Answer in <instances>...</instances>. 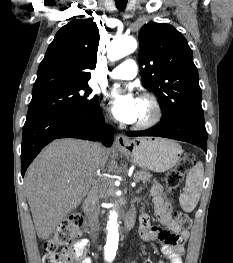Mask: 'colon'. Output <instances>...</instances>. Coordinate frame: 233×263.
<instances>
[{
	"label": "colon",
	"mask_w": 233,
	"mask_h": 263,
	"mask_svg": "<svg viewBox=\"0 0 233 263\" xmlns=\"http://www.w3.org/2000/svg\"><path fill=\"white\" fill-rule=\"evenodd\" d=\"M195 161L192 153H186L177 166L165 178L166 188L174 192L182 182L184 175ZM175 220L183 229L191 226L190 217L181 211L175 212ZM83 218L79 213H72L64 219L55 232L44 242V263H83L86 245L80 239V227Z\"/></svg>",
	"instance_id": "1"
}]
</instances>
